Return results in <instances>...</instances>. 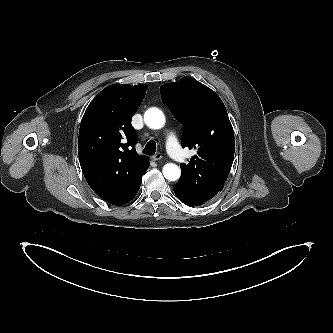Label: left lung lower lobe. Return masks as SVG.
<instances>
[{"label": "left lung lower lobe", "mask_w": 333, "mask_h": 333, "mask_svg": "<svg viewBox=\"0 0 333 333\" xmlns=\"http://www.w3.org/2000/svg\"><path fill=\"white\" fill-rule=\"evenodd\" d=\"M174 192L177 198L184 204L190 207L194 206H201L205 204L207 201H205L203 198H201L199 195L189 191L184 186L180 184L174 185Z\"/></svg>", "instance_id": "obj_1"}]
</instances>
